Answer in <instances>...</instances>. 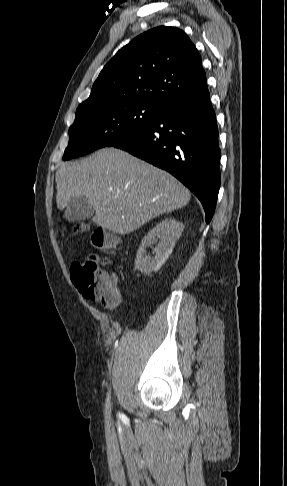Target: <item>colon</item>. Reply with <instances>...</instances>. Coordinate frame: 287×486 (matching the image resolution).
Wrapping results in <instances>:
<instances>
[{
  "mask_svg": "<svg viewBox=\"0 0 287 486\" xmlns=\"http://www.w3.org/2000/svg\"><path fill=\"white\" fill-rule=\"evenodd\" d=\"M78 232H90L92 245L97 249H113L117 237L101 227L90 228L84 223L75 227ZM71 280L85 298L114 307L121 301V294L115 287L112 276L104 271L94 255L74 262L70 270Z\"/></svg>",
  "mask_w": 287,
  "mask_h": 486,
  "instance_id": "1",
  "label": "colon"
}]
</instances>
